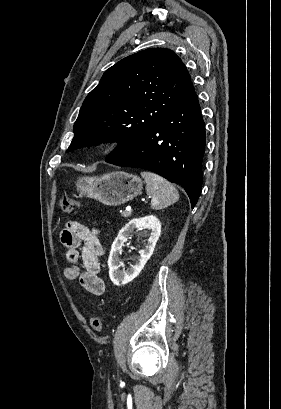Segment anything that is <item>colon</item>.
I'll use <instances>...</instances> for the list:
<instances>
[{
  "label": "colon",
  "mask_w": 281,
  "mask_h": 409,
  "mask_svg": "<svg viewBox=\"0 0 281 409\" xmlns=\"http://www.w3.org/2000/svg\"><path fill=\"white\" fill-rule=\"evenodd\" d=\"M60 206L61 209L64 213L66 214H74L76 212L77 209V204L75 201H73L72 199H70L67 196H63L61 201H60ZM103 327V318L101 315H94V317L91 320V328L95 331V332H99L101 331Z\"/></svg>",
  "instance_id": "obj_1"
}]
</instances>
